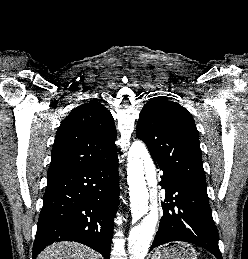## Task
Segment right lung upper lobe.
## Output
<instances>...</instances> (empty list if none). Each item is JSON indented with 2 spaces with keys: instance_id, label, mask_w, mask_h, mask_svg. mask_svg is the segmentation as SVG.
Returning <instances> with one entry per match:
<instances>
[{
  "instance_id": "1",
  "label": "right lung upper lobe",
  "mask_w": 248,
  "mask_h": 259,
  "mask_svg": "<svg viewBox=\"0 0 248 259\" xmlns=\"http://www.w3.org/2000/svg\"><path fill=\"white\" fill-rule=\"evenodd\" d=\"M111 113L91 101L73 109L57 130L48 176L89 167L117 154Z\"/></svg>"
}]
</instances>
